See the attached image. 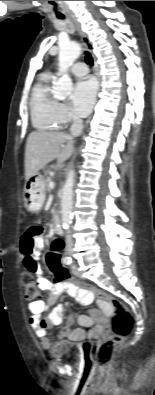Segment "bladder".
Listing matches in <instances>:
<instances>
[{
	"mask_svg": "<svg viewBox=\"0 0 155 395\" xmlns=\"http://www.w3.org/2000/svg\"><path fill=\"white\" fill-rule=\"evenodd\" d=\"M51 355L56 358H65L70 362L78 363L83 358L82 346L69 340H58L51 348Z\"/></svg>",
	"mask_w": 155,
	"mask_h": 395,
	"instance_id": "bladder-1",
	"label": "bladder"
}]
</instances>
